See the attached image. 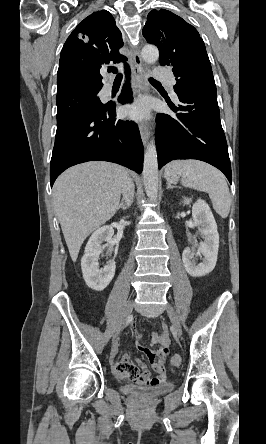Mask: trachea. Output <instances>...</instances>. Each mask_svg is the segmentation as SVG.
Returning a JSON list of instances; mask_svg holds the SVG:
<instances>
[{
    "instance_id": "1",
    "label": "trachea",
    "mask_w": 266,
    "mask_h": 444,
    "mask_svg": "<svg viewBox=\"0 0 266 444\" xmlns=\"http://www.w3.org/2000/svg\"><path fill=\"white\" fill-rule=\"evenodd\" d=\"M108 72L115 73L116 79H122V74L120 72H118V69L116 67H109ZM149 81L154 82V83H159L157 80H155L153 78H149Z\"/></svg>"
}]
</instances>
